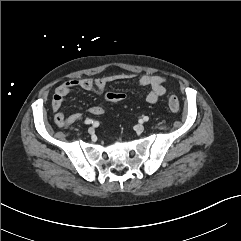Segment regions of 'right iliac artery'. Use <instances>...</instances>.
I'll list each match as a JSON object with an SVG mask.
<instances>
[{"label":"right iliac artery","instance_id":"1","mask_svg":"<svg viewBox=\"0 0 241 241\" xmlns=\"http://www.w3.org/2000/svg\"><path fill=\"white\" fill-rule=\"evenodd\" d=\"M98 124V122L97 121H93V120H91V119H86L85 120V124Z\"/></svg>","mask_w":241,"mask_h":241}]
</instances>
